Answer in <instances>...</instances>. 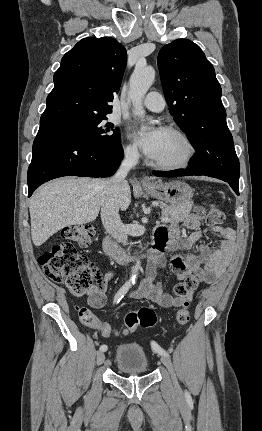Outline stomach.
I'll list each match as a JSON object with an SVG mask.
<instances>
[{
	"label": "stomach",
	"instance_id": "stomach-1",
	"mask_svg": "<svg viewBox=\"0 0 262 431\" xmlns=\"http://www.w3.org/2000/svg\"><path fill=\"white\" fill-rule=\"evenodd\" d=\"M144 190L152 197L171 206L187 205L193 197V189L180 180L168 183H154L144 187Z\"/></svg>",
	"mask_w": 262,
	"mask_h": 431
}]
</instances>
